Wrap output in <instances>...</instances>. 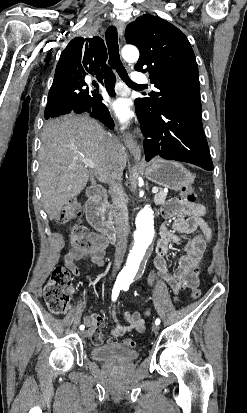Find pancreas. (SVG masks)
Instances as JSON below:
<instances>
[{"instance_id": "1", "label": "pancreas", "mask_w": 247, "mask_h": 413, "mask_svg": "<svg viewBox=\"0 0 247 413\" xmlns=\"http://www.w3.org/2000/svg\"><path fill=\"white\" fill-rule=\"evenodd\" d=\"M167 192H163V190H160V192H157L154 196V202L155 204H164L166 200ZM109 217H113L112 211L109 213Z\"/></svg>"}]
</instances>
